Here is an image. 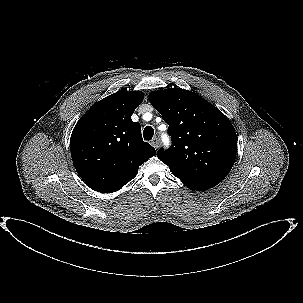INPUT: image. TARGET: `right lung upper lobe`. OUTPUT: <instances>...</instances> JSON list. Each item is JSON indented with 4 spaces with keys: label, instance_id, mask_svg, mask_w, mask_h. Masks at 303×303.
Here are the masks:
<instances>
[{
    "label": "right lung upper lobe",
    "instance_id": "obj_1",
    "mask_svg": "<svg viewBox=\"0 0 303 303\" xmlns=\"http://www.w3.org/2000/svg\"><path fill=\"white\" fill-rule=\"evenodd\" d=\"M143 98L140 91H118L94 104L74 127L70 139L73 164L91 189L120 190L156 154L143 141L140 124L131 120Z\"/></svg>",
    "mask_w": 303,
    "mask_h": 303
}]
</instances>
